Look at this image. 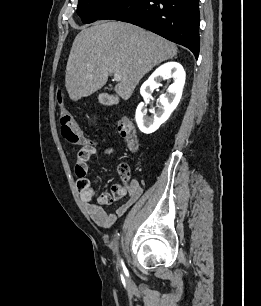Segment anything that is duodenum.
<instances>
[{
	"label": "duodenum",
	"mask_w": 261,
	"mask_h": 306,
	"mask_svg": "<svg viewBox=\"0 0 261 306\" xmlns=\"http://www.w3.org/2000/svg\"><path fill=\"white\" fill-rule=\"evenodd\" d=\"M105 102H106L107 104H112V103L114 102V100H113V98H111V97H106V98H105Z\"/></svg>",
	"instance_id": "1"
}]
</instances>
